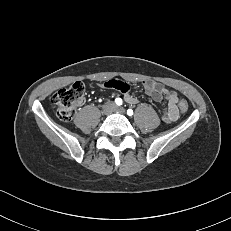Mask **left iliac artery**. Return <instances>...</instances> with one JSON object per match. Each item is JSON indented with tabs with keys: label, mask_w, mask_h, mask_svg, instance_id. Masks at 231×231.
<instances>
[{
	"label": "left iliac artery",
	"mask_w": 231,
	"mask_h": 231,
	"mask_svg": "<svg viewBox=\"0 0 231 231\" xmlns=\"http://www.w3.org/2000/svg\"><path fill=\"white\" fill-rule=\"evenodd\" d=\"M127 114H128L129 116L133 115V110H132V109H128V110H127Z\"/></svg>",
	"instance_id": "left-iliac-artery-1"
}]
</instances>
